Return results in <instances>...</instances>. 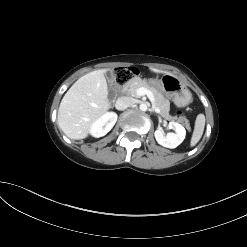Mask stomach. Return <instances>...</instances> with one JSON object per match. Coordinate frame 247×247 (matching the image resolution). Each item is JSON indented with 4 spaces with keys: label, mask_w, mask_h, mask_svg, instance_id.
Masks as SVG:
<instances>
[{
    "label": "stomach",
    "mask_w": 247,
    "mask_h": 247,
    "mask_svg": "<svg viewBox=\"0 0 247 247\" xmlns=\"http://www.w3.org/2000/svg\"><path fill=\"white\" fill-rule=\"evenodd\" d=\"M153 82L178 107H184L191 102V92L176 76L164 74L160 80Z\"/></svg>",
    "instance_id": "obj_1"
}]
</instances>
